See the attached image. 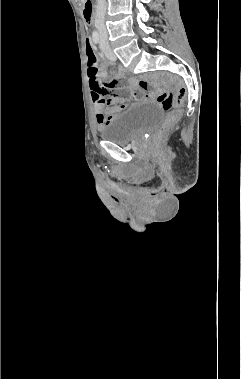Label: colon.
I'll return each mask as SVG.
<instances>
[{"label":"colon","instance_id":"obj_1","mask_svg":"<svg viewBox=\"0 0 241 379\" xmlns=\"http://www.w3.org/2000/svg\"><path fill=\"white\" fill-rule=\"evenodd\" d=\"M86 58H87V67H88V82L91 89H95L100 95H110L112 93L116 95H123L120 91H114L113 86L111 85H102L99 81L98 67H97V57L94 52L92 44L86 41ZM186 97V91L184 88H180L176 96H173L169 93H160L156 96V102L164 110H170L173 107L180 106ZM179 117L178 112H171L162 126L159 128L156 139L163 137L172 125L177 121Z\"/></svg>","mask_w":241,"mask_h":379}]
</instances>
